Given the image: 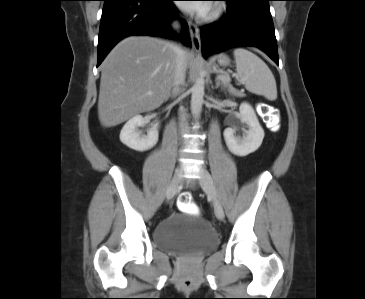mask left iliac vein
Here are the masks:
<instances>
[{"label":"left iliac vein","mask_w":365,"mask_h":299,"mask_svg":"<svg viewBox=\"0 0 365 299\" xmlns=\"http://www.w3.org/2000/svg\"><path fill=\"white\" fill-rule=\"evenodd\" d=\"M200 185L205 193L211 198L216 217L222 220L224 218V210L218 199L212 177L205 169H202L201 172Z\"/></svg>","instance_id":"1"}]
</instances>
